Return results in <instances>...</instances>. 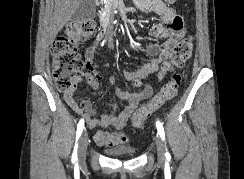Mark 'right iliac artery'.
Returning <instances> with one entry per match:
<instances>
[{
  "mask_svg": "<svg viewBox=\"0 0 244 179\" xmlns=\"http://www.w3.org/2000/svg\"><path fill=\"white\" fill-rule=\"evenodd\" d=\"M83 128H84V120L81 119L77 125V132H76V143H75V146H74V151H73V154H72V161H76L77 160V148H78V144H77V141L83 131Z\"/></svg>",
  "mask_w": 244,
  "mask_h": 179,
  "instance_id": "1",
  "label": "right iliac artery"
}]
</instances>
